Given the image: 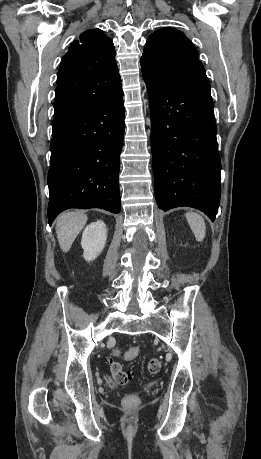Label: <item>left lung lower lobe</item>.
<instances>
[{
    "mask_svg": "<svg viewBox=\"0 0 261 459\" xmlns=\"http://www.w3.org/2000/svg\"><path fill=\"white\" fill-rule=\"evenodd\" d=\"M151 113L155 196L160 209L188 206L212 221L221 161L210 90L177 87L143 73Z\"/></svg>",
    "mask_w": 261,
    "mask_h": 459,
    "instance_id": "left-lung-lower-lobe-1",
    "label": "left lung lower lobe"
}]
</instances>
